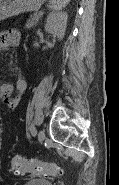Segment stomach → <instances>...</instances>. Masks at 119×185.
<instances>
[{"mask_svg": "<svg viewBox=\"0 0 119 185\" xmlns=\"http://www.w3.org/2000/svg\"><path fill=\"white\" fill-rule=\"evenodd\" d=\"M45 0H0V21L22 12L37 11Z\"/></svg>", "mask_w": 119, "mask_h": 185, "instance_id": "stomach-1", "label": "stomach"}]
</instances>
